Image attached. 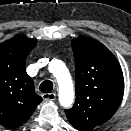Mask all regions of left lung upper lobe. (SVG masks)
I'll return each instance as SVG.
<instances>
[{
	"mask_svg": "<svg viewBox=\"0 0 131 131\" xmlns=\"http://www.w3.org/2000/svg\"><path fill=\"white\" fill-rule=\"evenodd\" d=\"M76 67V100L65 110L69 122L80 131H92L118 109L124 91L121 66L100 42L85 36L72 40Z\"/></svg>",
	"mask_w": 131,
	"mask_h": 131,
	"instance_id": "5c2ea615",
	"label": "left lung upper lobe"
}]
</instances>
